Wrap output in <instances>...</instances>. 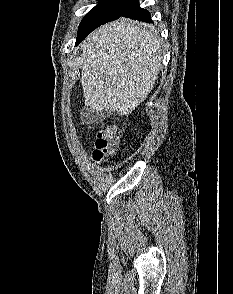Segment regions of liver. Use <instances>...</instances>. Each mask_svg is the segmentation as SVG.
Instances as JSON below:
<instances>
[{"label":"liver","mask_w":233,"mask_h":294,"mask_svg":"<svg viewBox=\"0 0 233 294\" xmlns=\"http://www.w3.org/2000/svg\"><path fill=\"white\" fill-rule=\"evenodd\" d=\"M159 36L126 18L105 24L80 45L85 105L129 114L155 85L162 67Z\"/></svg>","instance_id":"obj_1"}]
</instances>
